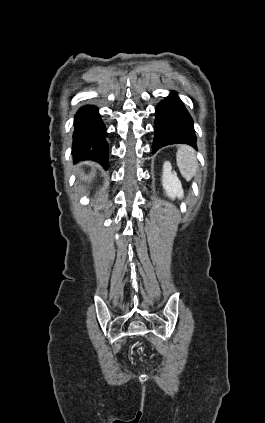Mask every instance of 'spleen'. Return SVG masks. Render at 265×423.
Wrapping results in <instances>:
<instances>
[{
  "mask_svg": "<svg viewBox=\"0 0 265 423\" xmlns=\"http://www.w3.org/2000/svg\"><path fill=\"white\" fill-rule=\"evenodd\" d=\"M176 161L180 173L189 181L198 168L194 149L187 145L180 146L176 154Z\"/></svg>",
  "mask_w": 265,
  "mask_h": 423,
  "instance_id": "spleen-1",
  "label": "spleen"
}]
</instances>
